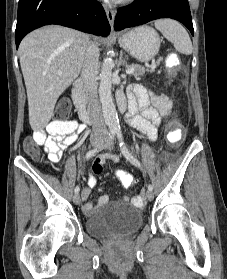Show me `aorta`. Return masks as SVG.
<instances>
[{
    "instance_id": "obj_1",
    "label": "aorta",
    "mask_w": 227,
    "mask_h": 279,
    "mask_svg": "<svg viewBox=\"0 0 227 279\" xmlns=\"http://www.w3.org/2000/svg\"><path fill=\"white\" fill-rule=\"evenodd\" d=\"M113 66L114 63L112 58L107 57L104 59L99 84V97L102 105L104 121L111 130L119 128V120L111 92Z\"/></svg>"
}]
</instances>
